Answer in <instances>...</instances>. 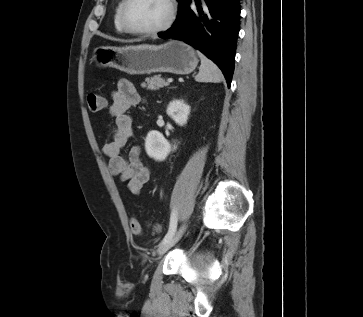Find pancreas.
<instances>
[{
    "label": "pancreas",
    "mask_w": 363,
    "mask_h": 317,
    "mask_svg": "<svg viewBox=\"0 0 363 317\" xmlns=\"http://www.w3.org/2000/svg\"><path fill=\"white\" fill-rule=\"evenodd\" d=\"M147 83H142V87H147L149 90H158L167 86L168 83L161 77V75H155L153 77L146 78Z\"/></svg>",
    "instance_id": "1"
}]
</instances>
